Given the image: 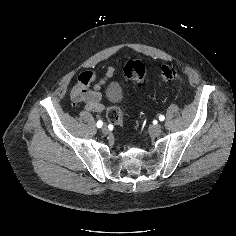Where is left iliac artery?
Listing matches in <instances>:
<instances>
[{"label": "left iliac artery", "instance_id": "1", "mask_svg": "<svg viewBox=\"0 0 236 236\" xmlns=\"http://www.w3.org/2000/svg\"><path fill=\"white\" fill-rule=\"evenodd\" d=\"M164 119H165V117H164L163 115H160V116H159V120H160V121H164Z\"/></svg>", "mask_w": 236, "mask_h": 236}]
</instances>
